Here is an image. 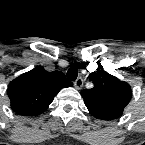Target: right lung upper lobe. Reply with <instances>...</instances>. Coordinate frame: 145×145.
I'll return each mask as SVG.
<instances>
[{
	"label": "right lung upper lobe",
	"instance_id": "obj_1",
	"mask_svg": "<svg viewBox=\"0 0 145 145\" xmlns=\"http://www.w3.org/2000/svg\"><path fill=\"white\" fill-rule=\"evenodd\" d=\"M73 84L66 80L60 71L47 72L37 66L8 85V97L11 108L23 116H35L43 113L62 88Z\"/></svg>",
	"mask_w": 145,
	"mask_h": 145
}]
</instances>
